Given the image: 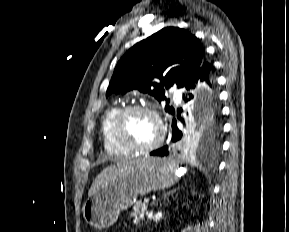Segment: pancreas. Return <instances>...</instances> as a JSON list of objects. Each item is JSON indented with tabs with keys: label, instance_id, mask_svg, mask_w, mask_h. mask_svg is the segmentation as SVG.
<instances>
[{
	"label": "pancreas",
	"instance_id": "pancreas-1",
	"mask_svg": "<svg viewBox=\"0 0 289 232\" xmlns=\"http://www.w3.org/2000/svg\"><path fill=\"white\" fill-rule=\"evenodd\" d=\"M147 210V204L142 202H137L133 207V212L131 215L134 217L133 223L138 224L144 219V214Z\"/></svg>",
	"mask_w": 289,
	"mask_h": 232
}]
</instances>
